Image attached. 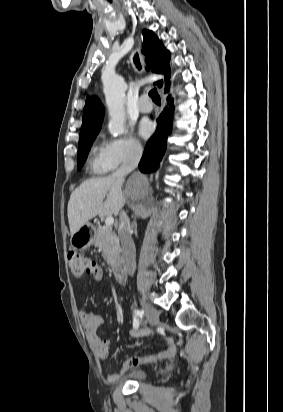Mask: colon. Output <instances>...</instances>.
Here are the masks:
<instances>
[{"label": "colon", "mask_w": 283, "mask_h": 412, "mask_svg": "<svg viewBox=\"0 0 283 412\" xmlns=\"http://www.w3.org/2000/svg\"><path fill=\"white\" fill-rule=\"evenodd\" d=\"M97 263L87 260L83 256L70 253L68 256V266L72 275L75 277L82 276L85 272H90L96 268Z\"/></svg>", "instance_id": "5ec220e1"}]
</instances>
